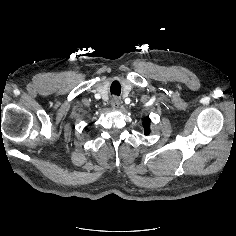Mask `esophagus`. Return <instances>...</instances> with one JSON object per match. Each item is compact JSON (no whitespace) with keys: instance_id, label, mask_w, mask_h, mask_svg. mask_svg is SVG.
<instances>
[{"instance_id":"obj_1","label":"esophagus","mask_w":236,"mask_h":236,"mask_svg":"<svg viewBox=\"0 0 236 236\" xmlns=\"http://www.w3.org/2000/svg\"><path fill=\"white\" fill-rule=\"evenodd\" d=\"M111 105L115 108L119 105V99L117 97L112 98Z\"/></svg>"}]
</instances>
